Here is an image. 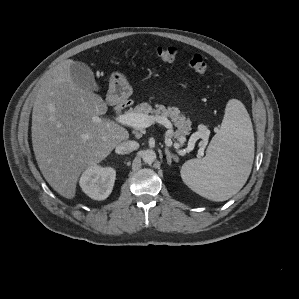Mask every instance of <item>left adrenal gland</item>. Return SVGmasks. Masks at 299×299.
Masks as SVG:
<instances>
[{
  "label": "left adrenal gland",
  "mask_w": 299,
  "mask_h": 299,
  "mask_svg": "<svg viewBox=\"0 0 299 299\" xmlns=\"http://www.w3.org/2000/svg\"><path fill=\"white\" fill-rule=\"evenodd\" d=\"M165 154L167 156V164L168 165H171L172 160H174L175 162H178L177 156L171 154L170 151H169V149L167 147L165 148Z\"/></svg>",
  "instance_id": "obj_1"
}]
</instances>
